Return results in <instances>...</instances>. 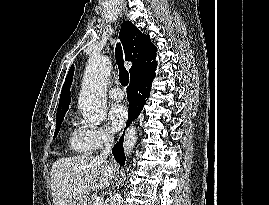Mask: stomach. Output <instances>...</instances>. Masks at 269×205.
I'll return each instance as SVG.
<instances>
[{
    "label": "stomach",
    "instance_id": "0dacf381",
    "mask_svg": "<svg viewBox=\"0 0 269 205\" xmlns=\"http://www.w3.org/2000/svg\"><path fill=\"white\" fill-rule=\"evenodd\" d=\"M74 205H86V202H85V200H78L75 202Z\"/></svg>",
    "mask_w": 269,
    "mask_h": 205
}]
</instances>
